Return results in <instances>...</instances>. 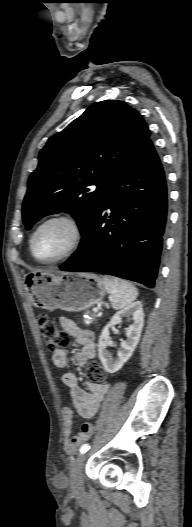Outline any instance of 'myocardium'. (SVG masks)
I'll list each match as a JSON object with an SVG mask.
<instances>
[{
	"instance_id": "myocardium-1",
	"label": "myocardium",
	"mask_w": 192,
	"mask_h": 527,
	"mask_svg": "<svg viewBox=\"0 0 192 527\" xmlns=\"http://www.w3.org/2000/svg\"><path fill=\"white\" fill-rule=\"evenodd\" d=\"M58 220L65 221L66 223L70 225L72 232H73L71 243L68 246V248L60 255L54 258H51V259H41L37 256L35 252V248H34L36 236L45 225H47L50 222L58 221ZM83 237H84L83 227L77 217H75L74 215L70 213H63V212L55 213V214H52L46 217L35 227L30 237V251L34 259L40 263H43V264L57 263V262L63 261L71 257L81 246Z\"/></svg>"
}]
</instances>
